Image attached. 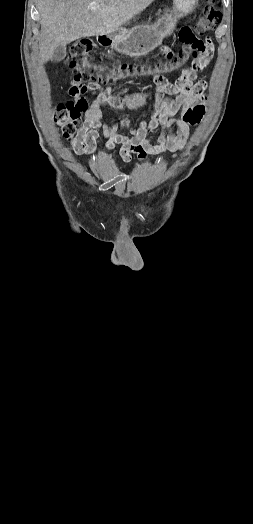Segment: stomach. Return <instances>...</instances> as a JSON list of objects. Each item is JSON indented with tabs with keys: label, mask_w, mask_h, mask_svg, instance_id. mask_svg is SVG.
Masks as SVG:
<instances>
[{
	"label": "stomach",
	"mask_w": 253,
	"mask_h": 524,
	"mask_svg": "<svg viewBox=\"0 0 253 524\" xmlns=\"http://www.w3.org/2000/svg\"><path fill=\"white\" fill-rule=\"evenodd\" d=\"M198 0H173L172 9L164 10L152 25L140 24L129 30L118 29L107 35H100L102 45L114 48L130 57H140L153 51L175 29L177 22L192 13Z\"/></svg>",
	"instance_id": "1"
}]
</instances>
